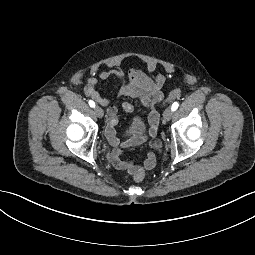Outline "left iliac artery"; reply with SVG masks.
I'll use <instances>...</instances> for the list:
<instances>
[{
	"label": "left iliac artery",
	"instance_id": "44dca946",
	"mask_svg": "<svg viewBox=\"0 0 255 255\" xmlns=\"http://www.w3.org/2000/svg\"><path fill=\"white\" fill-rule=\"evenodd\" d=\"M178 106H179L178 102H174L171 108L173 111H175L178 108Z\"/></svg>",
	"mask_w": 255,
	"mask_h": 255
}]
</instances>
